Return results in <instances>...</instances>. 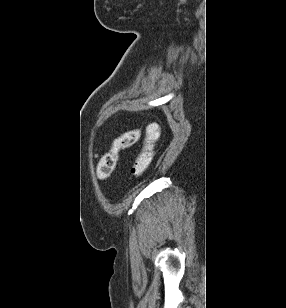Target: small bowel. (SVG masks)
<instances>
[{
	"instance_id": "small-bowel-1",
	"label": "small bowel",
	"mask_w": 286,
	"mask_h": 308,
	"mask_svg": "<svg viewBox=\"0 0 286 308\" xmlns=\"http://www.w3.org/2000/svg\"><path fill=\"white\" fill-rule=\"evenodd\" d=\"M160 137V131L157 125H149L146 128L145 140L153 139L155 142Z\"/></svg>"
}]
</instances>
